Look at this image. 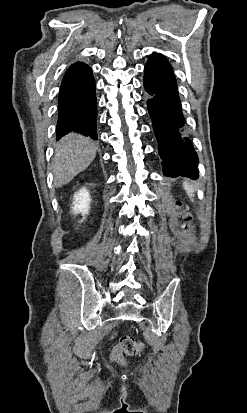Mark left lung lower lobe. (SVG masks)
<instances>
[{
	"instance_id": "1",
	"label": "left lung lower lobe",
	"mask_w": 247,
	"mask_h": 413,
	"mask_svg": "<svg viewBox=\"0 0 247 413\" xmlns=\"http://www.w3.org/2000/svg\"><path fill=\"white\" fill-rule=\"evenodd\" d=\"M147 108L158 141L165 176L198 178V157L184 133V118L176 79L168 60L161 54L150 55L144 69Z\"/></svg>"
}]
</instances>
